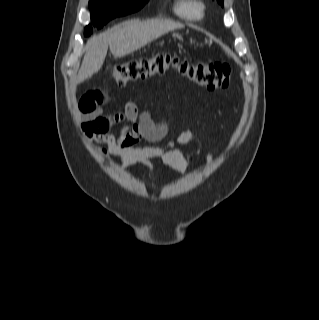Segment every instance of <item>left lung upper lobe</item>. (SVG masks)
Returning <instances> with one entry per match:
<instances>
[{
  "mask_svg": "<svg viewBox=\"0 0 319 320\" xmlns=\"http://www.w3.org/2000/svg\"><path fill=\"white\" fill-rule=\"evenodd\" d=\"M219 4L223 5V0H217Z\"/></svg>",
  "mask_w": 319,
  "mask_h": 320,
  "instance_id": "5c2ea615",
  "label": "left lung upper lobe"
}]
</instances>
